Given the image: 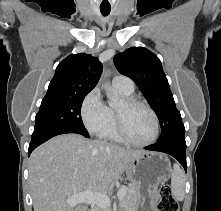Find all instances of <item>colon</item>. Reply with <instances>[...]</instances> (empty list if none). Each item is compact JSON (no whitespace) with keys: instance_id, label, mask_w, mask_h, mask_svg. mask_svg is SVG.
<instances>
[{"instance_id":"1","label":"colon","mask_w":221,"mask_h":211,"mask_svg":"<svg viewBox=\"0 0 221 211\" xmlns=\"http://www.w3.org/2000/svg\"><path fill=\"white\" fill-rule=\"evenodd\" d=\"M158 211H179V205L175 200L171 187L162 185L159 189Z\"/></svg>"}]
</instances>
